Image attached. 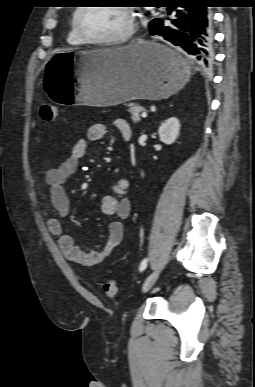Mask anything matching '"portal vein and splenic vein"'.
I'll use <instances>...</instances> for the list:
<instances>
[{"label": "portal vein and splenic vein", "mask_w": 255, "mask_h": 387, "mask_svg": "<svg viewBox=\"0 0 255 387\" xmlns=\"http://www.w3.org/2000/svg\"><path fill=\"white\" fill-rule=\"evenodd\" d=\"M142 117H143V118H146V117H147V113H146V112H143V113H142Z\"/></svg>", "instance_id": "18ae733b"}]
</instances>
